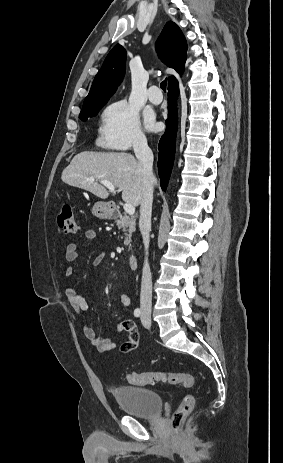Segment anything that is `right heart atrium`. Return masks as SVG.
I'll return each instance as SVG.
<instances>
[{
    "label": "right heart atrium",
    "mask_w": 283,
    "mask_h": 463,
    "mask_svg": "<svg viewBox=\"0 0 283 463\" xmlns=\"http://www.w3.org/2000/svg\"><path fill=\"white\" fill-rule=\"evenodd\" d=\"M101 145L117 150L142 148L147 144L139 113L125 100H118L105 107L99 127Z\"/></svg>",
    "instance_id": "d8ad5b80"
}]
</instances>
